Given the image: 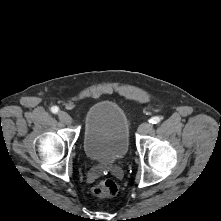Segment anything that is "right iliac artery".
I'll list each match as a JSON object with an SVG mask.
<instances>
[{
  "label": "right iliac artery",
  "mask_w": 221,
  "mask_h": 221,
  "mask_svg": "<svg viewBox=\"0 0 221 221\" xmlns=\"http://www.w3.org/2000/svg\"><path fill=\"white\" fill-rule=\"evenodd\" d=\"M51 111H52L53 113H58L59 108H58L57 106H53V107H51Z\"/></svg>",
  "instance_id": "obj_1"
}]
</instances>
